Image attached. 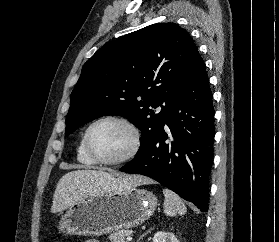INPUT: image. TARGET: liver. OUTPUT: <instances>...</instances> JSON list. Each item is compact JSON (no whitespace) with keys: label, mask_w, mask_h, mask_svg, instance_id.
Wrapping results in <instances>:
<instances>
[{"label":"liver","mask_w":279,"mask_h":242,"mask_svg":"<svg viewBox=\"0 0 279 242\" xmlns=\"http://www.w3.org/2000/svg\"><path fill=\"white\" fill-rule=\"evenodd\" d=\"M142 176H118L102 170H75L63 175L57 183L51 212H61L78 200L100 193L149 184Z\"/></svg>","instance_id":"1"}]
</instances>
